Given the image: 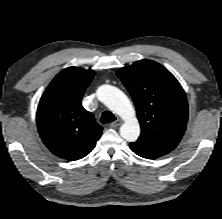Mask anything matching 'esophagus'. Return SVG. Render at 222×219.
Wrapping results in <instances>:
<instances>
[{"instance_id": "obj_1", "label": "esophagus", "mask_w": 222, "mask_h": 219, "mask_svg": "<svg viewBox=\"0 0 222 219\" xmlns=\"http://www.w3.org/2000/svg\"><path fill=\"white\" fill-rule=\"evenodd\" d=\"M121 124H122V121L119 120V119H117L116 121H114V122H112V123L110 124V127H111V128H115V127L120 126Z\"/></svg>"}]
</instances>
